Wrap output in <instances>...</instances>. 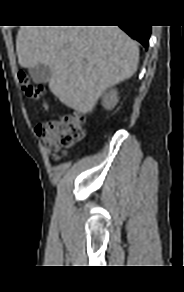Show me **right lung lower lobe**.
<instances>
[{
    "mask_svg": "<svg viewBox=\"0 0 184 292\" xmlns=\"http://www.w3.org/2000/svg\"><path fill=\"white\" fill-rule=\"evenodd\" d=\"M129 36L140 42L146 49L149 46L150 26H120Z\"/></svg>",
    "mask_w": 184,
    "mask_h": 292,
    "instance_id": "98d812e1",
    "label": "right lung lower lobe"
}]
</instances>
